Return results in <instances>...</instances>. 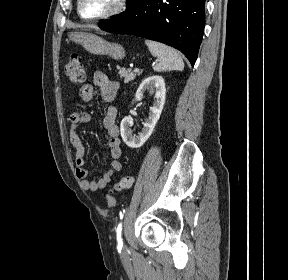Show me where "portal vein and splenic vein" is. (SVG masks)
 Masks as SVG:
<instances>
[{
    "instance_id": "18ae733b",
    "label": "portal vein and splenic vein",
    "mask_w": 288,
    "mask_h": 280,
    "mask_svg": "<svg viewBox=\"0 0 288 280\" xmlns=\"http://www.w3.org/2000/svg\"><path fill=\"white\" fill-rule=\"evenodd\" d=\"M139 71H140L139 68H135V69H134V72H135V73H138Z\"/></svg>"
}]
</instances>
